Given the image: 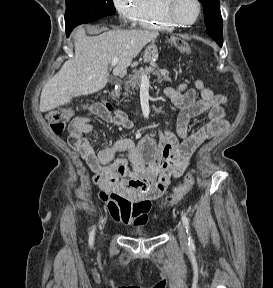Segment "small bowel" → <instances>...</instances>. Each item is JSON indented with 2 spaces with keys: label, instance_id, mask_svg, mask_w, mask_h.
<instances>
[{
  "label": "small bowel",
  "instance_id": "obj_1",
  "mask_svg": "<svg viewBox=\"0 0 273 288\" xmlns=\"http://www.w3.org/2000/svg\"><path fill=\"white\" fill-rule=\"evenodd\" d=\"M197 93L200 99L196 98ZM165 94L180 110L176 133L181 141L170 131H164L160 133L158 142L150 135L137 142L121 138L96 151L86 136L93 130L89 119L76 117L70 124L68 144L89 166L93 173L92 181L100 189L99 197L117 222L145 224L151 202L163 195L172 179L183 175L194 151L228 128L224 108L227 98L214 94L202 80H197L194 88L187 84L168 87ZM88 113L124 129L134 126L124 111H112L103 103L91 105ZM202 114L206 115L207 122L189 133L190 120ZM119 153H127V157L116 158Z\"/></svg>",
  "mask_w": 273,
  "mask_h": 288
}]
</instances>
